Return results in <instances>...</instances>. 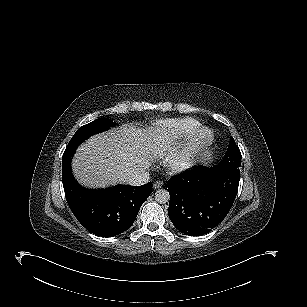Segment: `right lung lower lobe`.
I'll use <instances>...</instances> for the list:
<instances>
[{
  "label": "right lung lower lobe",
  "mask_w": 307,
  "mask_h": 307,
  "mask_svg": "<svg viewBox=\"0 0 307 307\" xmlns=\"http://www.w3.org/2000/svg\"><path fill=\"white\" fill-rule=\"evenodd\" d=\"M75 150H65L62 158L63 187L71 211L87 230L98 236L123 233L132 226L141 205L152 193V183L117 185L105 190L83 188L71 171Z\"/></svg>",
  "instance_id": "right-lung-lower-lobe-1"
}]
</instances>
